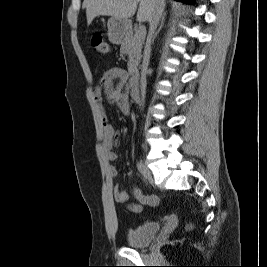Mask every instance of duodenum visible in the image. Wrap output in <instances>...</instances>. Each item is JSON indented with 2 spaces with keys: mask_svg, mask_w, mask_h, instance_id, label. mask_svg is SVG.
Segmentation results:
<instances>
[{
  "mask_svg": "<svg viewBox=\"0 0 267 267\" xmlns=\"http://www.w3.org/2000/svg\"><path fill=\"white\" fill-rule=\"evenodd\" d=\"M130 95L133 100L138 101L140 99L139 88H138V74H132L130 80Z\"/></svg>",
  "mask_w": 267,
  "mask_h": 267,
  "instance_id": "410a0bca",
  "label": "duodenum"
}]
</instances>
